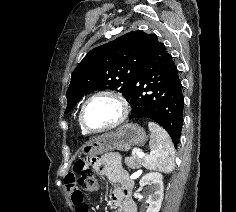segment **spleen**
I'll return each instance as SVG.
<instances>
[{
	"instance_id": "spleen-1",
	"label": "spleen",
	"mask_w": 236,
	"mask_h": 212,
	"mask_svg": "<svg viewBox=\"0 0 236 212\" xmlns=\"http://www.w3.org/2000/svg\"><path fill=\"white\" fill-rule=\"evenodd\" d=\"M148 127L151 132V151L144 158V166L149 170L172 172L175 167V149L169 134L155 122H149Z\"/></svg>"
}]
</instances>
